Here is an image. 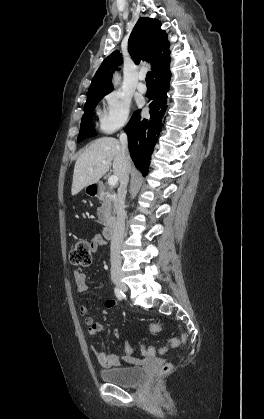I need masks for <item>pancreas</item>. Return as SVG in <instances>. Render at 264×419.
<instances>
[{"instance_id":"1","label":"pancreas","mask_w":264,"mask_h":419,"mask_svg":"<svg viewBox=\"0 0 264 419\" xmlns=\"http://www.w3.org/2000/svg\"><path fill=\"white\" fill-rule=\"evenodd\" d=\"M115 212V203L108 196L107 193L102 196V205L100 208H98V217L101 220V222L106 225L113 219V214Z\"/></svg>"}]
</instances>
